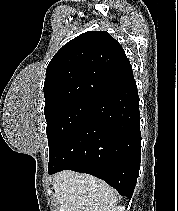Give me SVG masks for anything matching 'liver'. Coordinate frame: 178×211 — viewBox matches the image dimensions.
<instances>
[{"label": "liver", "instance_id": "1", "mask_svg": "<svg viewBox=\"0 0 178 211\" xmlns=\"http://www.w3.org/2000/svg\"><path fill=\"white\" fill-rule=\"evenodd\" d=\"M53 188L59 211H111L118 202L112 187L88 174L62 171L54 176Z\"/></svg>", "mask_w": 178, "mask_h": 211}]
</instances>
